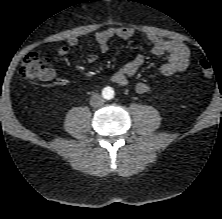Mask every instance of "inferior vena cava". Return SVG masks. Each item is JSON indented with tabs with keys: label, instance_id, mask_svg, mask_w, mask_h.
Returning a JSON list of instances; mask_svg holds the SVG:
<instances>
[{
	"label": "inferior vena cava",
	"instance_id": "602c4592",
	"mask_svg": "<svg viewBox=\"0 0 222 219\" xmlns=\"http://www.w3.org/2000/svg\"><path fill=\"white\" fill-rule=\"evenodd\" d=\"M90 105L95 108L102 106L103 105V98L101 97V95H99L97 93L93 94L90 98Z\"/></svg>",
	"mask_w": 222,
	"mask_h": 219
}]
</instances>
